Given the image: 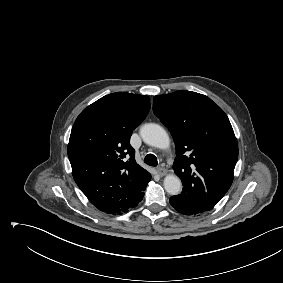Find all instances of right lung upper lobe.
Returning a JSON list of instances; mask_svg holds the SVG:
<instances>
[{"mask_svg":"<svg viewBox=\"0 0 283 283\" xmlns=\"http://www.w3.org/2000/svg\"><path fill=\"white\" fill-rule=\"evenodd\" d=\"M149 110L148 96L112 93L86 107L72 127V175L100 211L121 214L144 196L151 174L135 162L130 137Z\"/></svg>","mask_w":283,"mask_h":283,"instance_id":"1","label":"right lung upper lobe"}]
</instances>
